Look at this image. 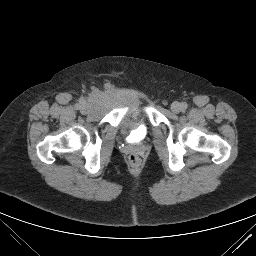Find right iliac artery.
<instances>
[{"label": "right iliac artery", "instance_id": "82829eb1", "mask_svg": "<svg viewBox=\"0 0 256 256\" xmlns=\"http://www.w3.org/2000/svg\"><path fill=\"white\" fill-rule=\"evenodd\" d=\"M83 101H84L83 99H80V103H79V104H76V108H77V109H80V107H81L80 104L83 103Z\"/></svg>", "mask_w": 256, "mask_h": 256}]
</instances>
